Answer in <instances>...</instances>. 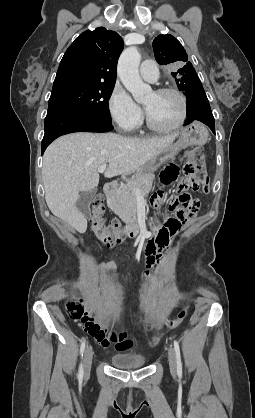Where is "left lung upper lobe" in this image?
<instances>
[{"instance_id":"left-lung-upper-lobe-1","label":"left lung upper lobe","mask_w":255,"mask_h":418,"mask_svg":"<svg viewBox=\"0 0 255 418\" xmlns=\"http://www.w3.org/2000/svg\"><path fill=\"white\" fill-rule=\"evenodd\" d=\"M153 49L155 59L160 65H172L175 67L174 72L171 74L175 78L178 88L187 97L204 92L194 67L188 61L185 49L175 37L170 34L157 36L153 41Z\"/></svg>"}]
</instances>
